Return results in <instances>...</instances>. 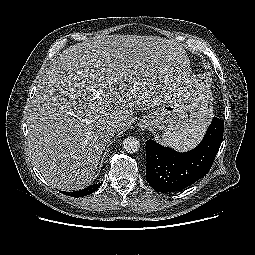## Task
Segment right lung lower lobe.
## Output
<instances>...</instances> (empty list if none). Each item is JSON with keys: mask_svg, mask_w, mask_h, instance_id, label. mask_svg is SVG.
<instances>
[{"mask_svg": "<svg viewBox=\"0 0 255 255\" xmlns=\"http://www.w3.org/2000/svg\"><path fill=\"white\" fill-rule=\"evenodd\" d=\"M100 185L101 183H94L93 185H90L87 188H84L82 190L75 191V192H64V193L72 197H83L96 191Z\"/></svg>", "mask_w": 255, "mask_h": 255, "instance_id": "obj_1", "label": "right lung lower lobe"}]
</instances>
